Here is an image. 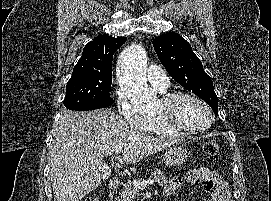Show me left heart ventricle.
Wrapping results in <instances>:
<instances>
[{
  "mask_svg": "<svg viewBox=\"0 0 271 201\" xmlns=\"http://www.w3.org/2000/svg\"><path fill=\"white\" fill-rule=\"evenodd\" d=\"M164 110L165 107L159 100L156 106V113ZM172 113L175 119L186 128L198 129L209 123V115L207 111L193 100H181L176 104Z\"/></svg>",
  "mask_w": 271,
  "mask_h": 201,
  "instance_id": "1",
  "label": "left heart ventricle"
}]
</instances>
